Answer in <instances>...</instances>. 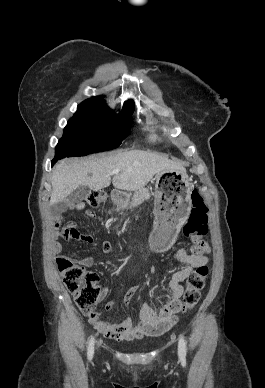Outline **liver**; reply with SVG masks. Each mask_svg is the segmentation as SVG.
<instances>
[{
    "instance_id": "liver-1",
    "label": "liver",
    "mask_w": 265,
    "mask_h": 388,
    "mask_svg": "<svg viewBox=\"0 0 265 388\" xmlns=\"http://www.w3.org/2000/svg\"><path fill=\"white\" fill-rule=\"evenodd\" d=\"M121 170L112 182L117 190L135 192L144 188L155 174L161 172H184L185 168L177 162H172L164 156L143 150H130L116 156H90L81 162L70 164L67 160H60L56 164L52 178L53 194L50 206L66 200L79 186H88L91 190H102L111 184L109 172Z\"/></svg>"
}]
</instances>
